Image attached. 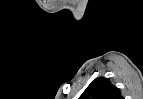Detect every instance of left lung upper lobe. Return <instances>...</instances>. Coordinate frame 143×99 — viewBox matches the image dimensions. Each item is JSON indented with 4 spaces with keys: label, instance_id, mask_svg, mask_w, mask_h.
I'll return each mask as SVG.
<instances>
[{
    "label": "left lung upper lobe",
    "instance_id": "5c2ea615",
    "mask_svg": "<svg viewBox=\"0 0 143 99\" xmlns=\"http://www.w3.org/2000/svg\"><path fill=\"white\" fill-rule=\"evenodd\" d=\"M79 99H123V97L108 78L98 77L89 84Z\"/></svg>",
    "mask_w": 143,
    "mask_h": 99
}]
</instances>
